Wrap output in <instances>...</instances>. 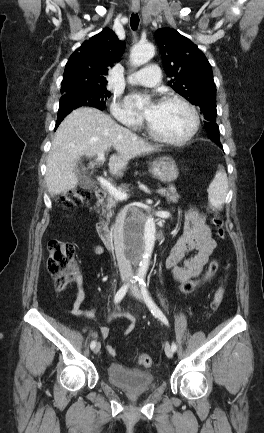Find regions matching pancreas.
<instances>
[{
	"label": "pancreas",
	"mask_w": 264,
	"mask_h": 433,
	"mask_svg": "<svg viewBox=\"0 0 264 433\" xmlns=\"http://www.w3.org/2000/svg\"><path fill=\"white\" fill-rule=\"evenodd\" d=\"M124 191H127L125 188ZM164 197L167 198L168 201L177 202L179 199V195L176 191V188L173 186H169V191L163 194ZM118 200L112 195L108 194L106 202L102 206V215H104L107 219L113 214V209L117 206Z\"/></svg>",
	"instance_id": "obj_1"
}]
</instances>
